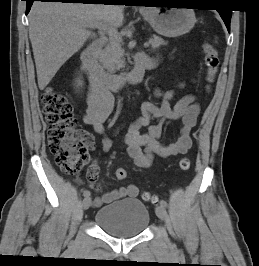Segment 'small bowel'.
Returning <instances> with one entry per match:
<instances>
[{"label": "small bowel", "mask_w": 259, "mask_h": 266, "mask_svg": "<svg viewBox=\"0 0 259 266\" xmlns=\"http://www.w3.org/2000/svg\"><path fill=\"white\" fill-rule=\"evenodd\" d=\"M148 61V68L155 66V61L144 55H140ZM183 84H180L182 87ZM156 95L162 98V103L157 106L152 103H145L142 106V116L134 121L129 131L125 135L127 152L133 162L142 168H148L152 164L155 155L167 158L177 154H185L192 145L191 132L197 123L200 113V105L194 95H187L172 107L169 103L173 97V91H163L156 89ZM114 107V99L108 90H103L90 83V90L87 99V109L83 115V121L92 125L96 132L105 133L104 123L111 114ZM181 120L182 126L176 141L170 144L161 142L163 126L167 121ZM147 127L145 134H140L139 129ZM111 147V140L105 137L103 149L108 151ZM142 147L144 150H142ZM99 169L93 163L87 171L89 184L97 189V178ZM138 188L134 184L126 187H119L104 193L93 201V205L98 207L125 197H136Z\"/></svg>", "instance_id": "c3829d8e"}]
</instances>
